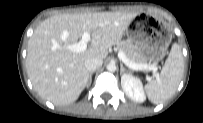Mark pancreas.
Listing matches in <instances>:
<instances>
[{"label": "pancreas", "instance_id": "pancreas-1", "mask_svg": "<svg viewBox=\"0 0 203 123\" xmlns=\"http://www.w3.org/2000/svg\"><path fill=\"white\" fill-rule=\"evenodd\" d=\"M117 48L123 52L130 61L138 64L144 63L141 53L132 42L121 41L117 44Z\"/></svg>", "mask_w": 203, "mask_h": 123}]
</instances>
